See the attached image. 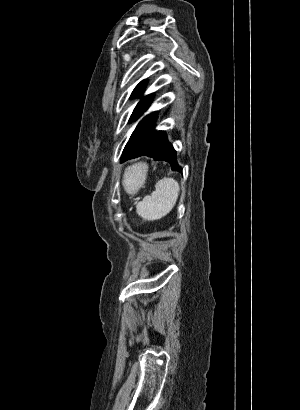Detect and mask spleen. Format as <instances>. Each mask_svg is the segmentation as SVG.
<instances>
[{"label":"spleen","instance_id":"spleen-1","mask_svg":"<svg viewBox=\"0 0 300 410\" xmlns=\"http://www.w3.org/2000/svg\"><path fill=\"white\" fill-rule=\"evenodd\" d=\"M146 165L135 164L128 167L123 180V186L129 193L142 184L145 178ZM156 190L145 196L136 205V212L145 220H157L167 215L175 206L179 196V184L173 178H163L155 185Z\"/></svg>","mask_w":300,"mask_h":410}]
</instances>
